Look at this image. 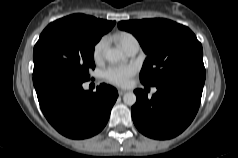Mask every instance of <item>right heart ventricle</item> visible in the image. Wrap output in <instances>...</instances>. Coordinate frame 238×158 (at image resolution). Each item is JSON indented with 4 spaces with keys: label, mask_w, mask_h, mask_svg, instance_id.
<instances>
[{
    "label": "right heart ventricle",
    "mask_w": 238,
    "mask_h": 158,
    "mask_svg": "<svg viewBox=\"0 0 238 158\" xmlns=\"http://www.w3.org/2000/svg\"><path fill=\"white\" fill-rule=\"evenodd\" d=\"M117 40L119 41V43L121 44V46L126 49L127 46L134 40H136V38L130 34V33H120L117 35Z\"/></svg>",
    "instance_id": "obj_1"
}]
</instances>
